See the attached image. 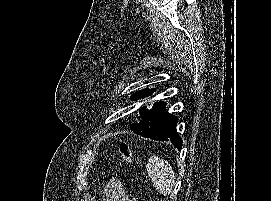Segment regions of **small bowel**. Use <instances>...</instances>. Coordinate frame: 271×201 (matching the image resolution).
<instances>
[{
  "label": "small bowel",
  "instance_id": "c3829d8e",
  "mask_svg": "<svg viewBox=\"0 0 271 201\" xmlns=\"http://www.w3.org/2000/svg\"><path fill=\"white\" fill-rule=\"evenodd\" d=\"M104 201H128L122 183L117 180H111L103 190Z\"/></svg>",
  "mask_w": 271,
  "mask_h": 201
}]
</instances>
